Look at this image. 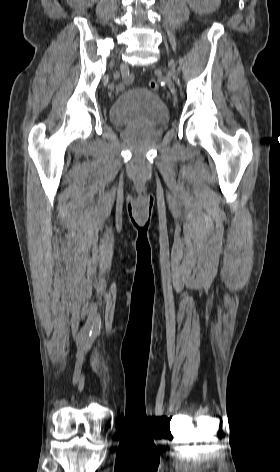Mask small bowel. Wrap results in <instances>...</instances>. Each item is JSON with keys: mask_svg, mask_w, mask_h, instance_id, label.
<instances>
[{"mask_svg": "<svg viewBox=\"0 0 280 472\" xmlns=\"http://www.w3.org/2000/svg\"><path fill=\"white\" fill-rule=\"evenodd\" d=\"M132 81H133V76L127 77L124 83L122 84L121 88H124L126 85L130 84Z\"/></svg>", "mask_w": 280, "mask_h": 472, "instance_id": "obj_1", "label": "small bowel"}]
</instances>
